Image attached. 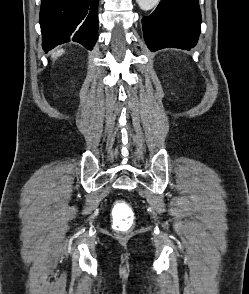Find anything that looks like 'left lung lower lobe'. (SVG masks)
<instances>
[{
    "instance_id": "left-lung-lower-lobe-1",
    "label": "left lung lower lobe",
    "mask_w": 249,
    "mask_h": 294,
    "mask_svg": "<svg viewBox=\"0 0 249 294\" xmlns=\"http://www.w3.org/2000/svg\"><path fill=\"white\" fill-rule=\"evenodd\" d=\"M142 24L145 42L153 52L167 47L193 48L201 25L198 0H162Z\"/></svg>"
}]
</instances>
